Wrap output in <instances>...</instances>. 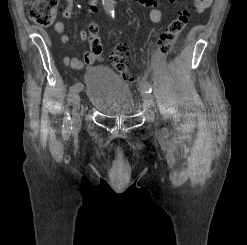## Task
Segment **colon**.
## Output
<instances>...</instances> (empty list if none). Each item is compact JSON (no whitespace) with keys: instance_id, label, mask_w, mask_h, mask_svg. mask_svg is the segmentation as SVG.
I'll return each instance as SVG.
<instances>
[{"instance_id":"5ec220e1","label":"colon","mask_w":247,"mask_h":245,"mask_svg":"<svg viewBox=\"0 0 247 245\" xmlns=\"http://www.w3.org/2000/svg\"><path fill=\"white\" fill-rule=\"evenodd\" d=\"M30 19L41 26H50L56 17L59 0H26ZM189 11L181 12L166 27L164 32L158 37L157 44L164 54H169L179 35L188 24ZM88 41L91 52L96 56L102 54V44L98 37V26L90 23L88 27ZM127 46L122 43L116 44L111 53L110 60L116 72L127 81L133 82L134 76L131 68L126 62Z\"/></svg>"}]
</instances>
